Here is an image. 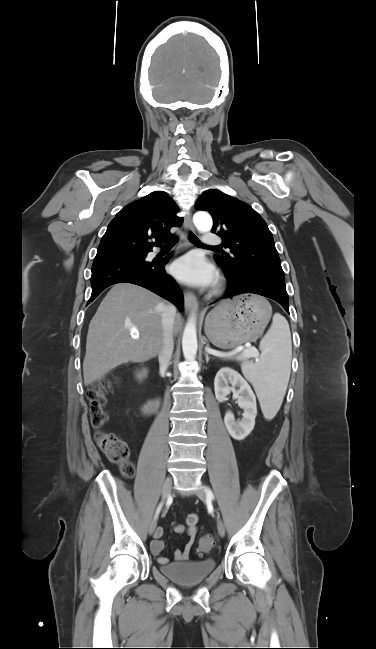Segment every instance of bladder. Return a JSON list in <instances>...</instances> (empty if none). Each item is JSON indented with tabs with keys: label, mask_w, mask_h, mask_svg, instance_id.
Segmentation results:
<instances>
[{
	"label": "bladder",
	"mask_w": 376,
	"mask_h": 649,
	"mask_svg": "<svg viewBox=\"0 0 376 649\" xmlns=\"http://www.w3.org/2000/svg\"><path fill=\"white\" fill-rule=\"evenodd\" d=\"M216 563L211 558L199 561L167 563L160 566V571L172 581L182 585H194L202 582L215 569Z\"/></svg>",
	"instance_id": "bladder-1"
}]
</instances>
